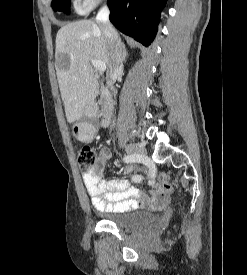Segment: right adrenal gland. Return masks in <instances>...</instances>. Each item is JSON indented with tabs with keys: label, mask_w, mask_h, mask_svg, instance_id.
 I'll return each instance as SVG.
<instances>
[{
	"label": "right adrenal gland",
	"mask_w": 247,
	"mask_h": 275,
	"mask_svg": "<svg viewBox=\"0 0 247 275\" xmlns=\"http://www.w3.org/2000/svg\"><path fill=\"white\" fill-rule=\"evenodd\" d=\"M128 56V53L126 51L125 45L123 44V61H126V57Z\"/></svg>",
	"instance_id": "1"
}]
</instances>
